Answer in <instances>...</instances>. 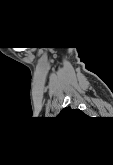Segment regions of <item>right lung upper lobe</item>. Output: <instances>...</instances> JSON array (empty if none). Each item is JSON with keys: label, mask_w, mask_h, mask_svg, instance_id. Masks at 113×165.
<instances>
[{"label": "right lung upper lobe", "mask_w": 113, "mask_h": 165, "mask_svg": "<svg viewBox=\"0 0 113 165\" xmlns=\"http://www.w3.org/2000/svg\"><path fill=\"white\" fill-rule=\"evenodd\" d=\"M86 115L79 109H71V107L64 108L57 117L60 118H79Z\"/></svg>", "instance_id": "cb5924a9"}]
</instances>
